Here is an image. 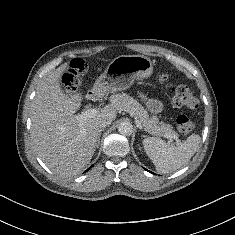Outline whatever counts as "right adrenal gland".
<instances>
[{
	"instance_id": "obj_1",
	"label": "right adrenal gland",
	"mask_w": 235,
	"mask_h": 235,
	"mask_svg": "<svg viewBox=\"0 0 235 235\" xmlns=\"http://www.w3.org/2000/svg\"><path fill=\"white\" fill-rule=\"evenodd\" d=\"M102 131H104V129H100V130H99V133H98L97 144H96L97 147H98L99 144H100V137H101Z\"/></svg>"
}]
</instances>
